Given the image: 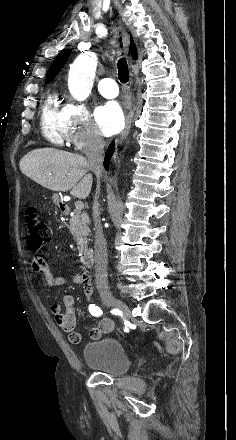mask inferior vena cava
Returning <instances> with one entry per match:
<instances>
[{"label": "inferior vena cava", "instance_id": "1", "mask_svg": "<svg viewBox=\"0 0 236 440\" xmlns=\"http://www.w3.org/2000/svg\"><path fill=\"white\" fill-rule=\"evenodd\" d=\"M105 142L98 134H93L88 140L85 150L90 170L96 175L99 181L102 174V163L104 157ZM93 219L95 230V285L97 288L108 287V254L106 239L101 226L98 191L93 203Z\"/></svg>", "mask_w": 236, "mask_h": 440}]
</instances>
